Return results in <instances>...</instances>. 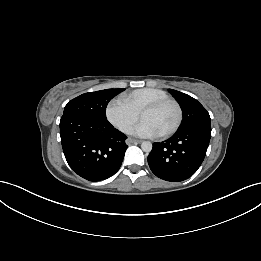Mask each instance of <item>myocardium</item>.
<instances>
[{"label": "myocardium", "instance_id": "myocardium-1", "mask_svg": "<svg viewBox=\"0 0 261 261\" xmlns=\"http://www.w3.org/2000/svg\"><path fill=\"white\" fill-rule=\"evenodd\" d=\"M168 104H172L175 106L176 111H177V118H176L175 123L173 124V126L170 129L161 133V136H163V137H167V136L174 134L179 129V127L182 123L183 115H182V109H181V106L179 105V103L176 100L170 99V98L162 99V100H158V101H155V102H152V103L146 105L143 108V110L141 111V116H142V114L146 111L156 110V109H159Z\"/></svg>", "mask_w": 261, "mask_h": 261}]
</instances>
